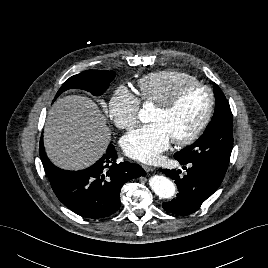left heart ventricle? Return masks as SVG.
Listing matches in <instances>:
<instances>
[{
	"instance_id": "left-heart-ventricle-1",
	"label": "left heart ventricle",
	"mask_w": 268,
	"mask_h": 268,
	"mask_svg": "<svg viewBox=\"0 0 268 268\" xmlns=\"http://www.w3.org/2000/svg\"><path fill=\"white\" fill-rule=\"evenodd\" d=\"M208 92L199 87L187 90L173 110L163 113L155 108L150 121L161 124L171 140L187 136L202 119L208 106Z\"/></svg>"
}]
</instances>
